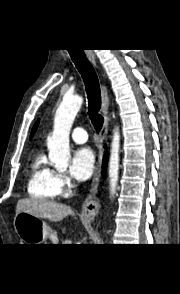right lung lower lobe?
Here are the masks:
<instances>
[{
	"mask_svg": "<svg viewBox=\"0 0 180 294\" xmlns=\"http://www.w3.org/2000/svg\"><path fill=\"white\" fill-rule=\"evenodd\" d=\"M106 161L107 159H106V153H105L104 159H103V173H105V170H106Z\"/></svg>",
	"mask_w": 180,
	"mask_h": 294,
	"instance_id": "right-lung-lower-lobe-1",
	"label": "right lung lower lobe"
}]
</instances>
